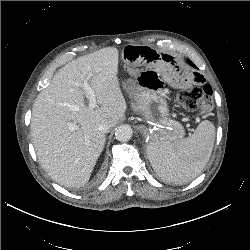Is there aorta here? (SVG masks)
Masks as SVG:
<instances>
[{
  "label": "aorta",
  "mask_w": 250,
  "mask_h": 250,
  "mask_svg": "<svg viewBox=\"0 0 250 250\" xmlns=\"http://www.w3.org/2000/svg\"><path fill=\"white\" fill-rule=\"evenodd\" d=\"M133 130L129 125H120L116 128V139L122 142H127L132 138Z\"/></svg>",
  "instance_id": "obj_1"
}]
</instances>
